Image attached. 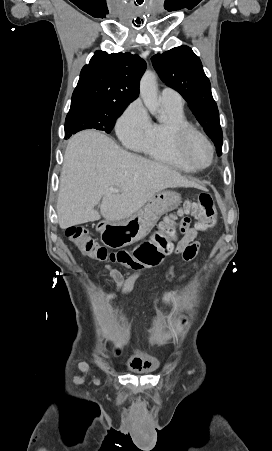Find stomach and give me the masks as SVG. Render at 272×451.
Listing matches in <instances>:
<instances>
[{"mask_svg": "<svg viewBox=\"0 0 272 451\" xmlns=\"http://www.w3.org/2000/svg\"><path fill=\"white\" fill-rule=\"evenodd\" d=\"M180 204L181 196L177 192H171V190L156 192L151 200H148L145 206H142L128 220L104 226L101 231V241L112 249L131 245L142 237H146L161 216L176 210Z\"/></svg>", "mask_w": 272, "mask_h": 451, "instance_id": "obj_1", "label": "stomach"}]
</instances>
